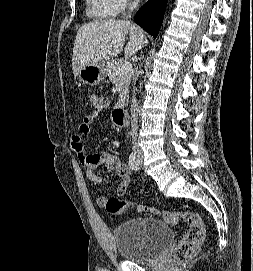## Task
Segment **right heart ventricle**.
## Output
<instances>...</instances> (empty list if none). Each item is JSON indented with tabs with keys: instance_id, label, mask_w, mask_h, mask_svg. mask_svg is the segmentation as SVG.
I'll use <instances>...</instances> for the list:
<instances>
[{
	"instance_id": "right-heart-ventricle-1",
	"label": "right heart ventricle",
	"mask_w": 253,
	"mask_h": 271,
	"mask_svg": "<svg viewBox=\"0 0 253 271\" xmlns=\"http://www.w3.org/2000/svg\"><path fill=\"white\" fill-rule=\"evenodd\" d=\"M88 14L97 19L111 18L118 11L110 0H86Z\"/></svg>"
}]
</instances>
